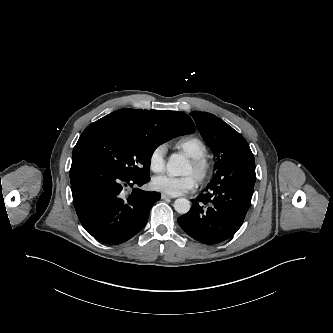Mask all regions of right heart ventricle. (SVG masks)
<instances>
[{"mask_svg": "<svg viewBox=\"0 0 333 333\" xmlns=\"http://www.w3.org/2000/svg\"><path fill=\"white\" fill-rule=\"evenodd\" d=\"M174 146L190 158L206 156L208 153L207 145L201 139L194 136L181 137L175 141Z\"/></svg>", "mask_w": 333, "mask_h": 333, "instance_id": "obj_1", "label": "right heart ventricle"}]
</instances>
